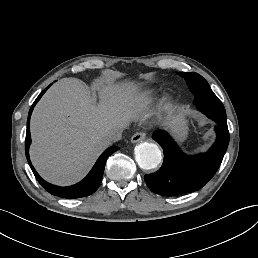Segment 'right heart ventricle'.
I'll return each mask as SVG.
<instances>
[{"label":"right heart ventricle","instance_id":"right-heart-ventricle-1","mask_svg":"<svg viewBox=\"0 0 258 258\" xmlns=\"http://www.w3.org/2000/svg\"><path fill=\"white\" fill-rule=\"evenodd\" d=\"M155 97L156 92L154 90L146 92L145 95L137 103V108L139 110H147L154 103Z\"/></svg>","mask_w":258,"mask_h":258}]
</instances>
